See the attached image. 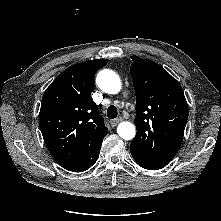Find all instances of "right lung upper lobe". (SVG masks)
Returning a JSON list of instances; mask_svg holds the SVG:
<instances>
[{
    "label": "right lung upper lobe",
    "mask_w": 221,
    "mask_h": 221,
    "mask_svg": "<svg viewBox=\"0 0 221 221\" xmlns=\"http://www.w3.org/2000/svg\"><path fill=\"white\" fill-rule=\"evenodd\" d=\"M107 63V59H97L72 65L43 95L40 129L51 156L63 168L80 159L108 132L91 97L95 73Z\"/></svg>",
    "instance_id": "obj_1"
}]
</instances>
